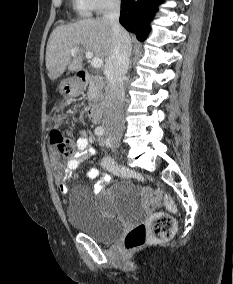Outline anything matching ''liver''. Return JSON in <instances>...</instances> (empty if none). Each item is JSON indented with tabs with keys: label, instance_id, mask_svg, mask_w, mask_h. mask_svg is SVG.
I'll use <instances>...</instances> for the list:
<instances>
[{
	"label": "liver",
	"instance_id": "obj_1",
	"mask_svg": "<svg viewBox=\"0 0 233 284\" xmlns=\"http://www.w3.org/2000/svg\"><path fill=\"white\" fill-rule=\"evenodd\" d=\"M112 26L106 19H83L68 25H60L51 33L46 48L48 77L55 80L68 68L83 69L82 49L91 51L95 57L107 62L112 49ZM79 51L72 54V48Z\"/></svg>",
	"mask_w": 233,
	"mask_h": 284
}]
</instances>
